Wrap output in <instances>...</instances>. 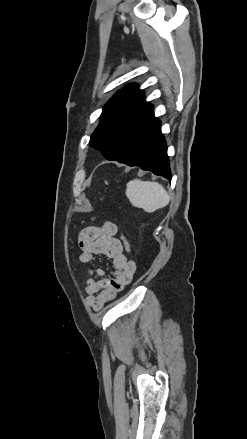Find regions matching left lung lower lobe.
Wrapping results in <instances>:
<instances>
[{"mask_svg": "<svg viewBox=\"0 0 247 439\" xmlns=\"http://www.w3.org/2000/svg\"><path fill=\"white\" fill-rule=\"evenodd\" d=\"M122 163L171 179L167 146L157 118L153 116L140 130Z\"/></svg>", "mask_w": 247, "mask_h": 439, "instance_id": "1", "label": "left lung lower lobe"}]
</instances>
